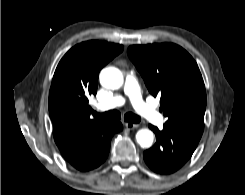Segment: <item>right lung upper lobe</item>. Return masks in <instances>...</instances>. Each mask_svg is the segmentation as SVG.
<instances>
[{
	"mask_svg": "<svg viewBox=\"0 0 245 195\" xmlns=\"http://www.w3.org/2000/svg\"><path fill=\"white\" fill-rule=\"evenodd\" d=\"M119 44L87 41L60 60L49 93L55 143L76 169L86 171L97 159V138L109 124L90 118L88 97L97 92L102 67L123 51Z\"/></svg>",
	"mask_w": 245,
	"mask_h": 195,
	"instance_id": "1",
	"label": "right lung upper lobe"
}]
</instances>
